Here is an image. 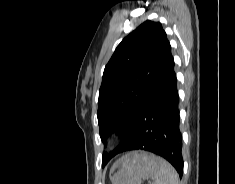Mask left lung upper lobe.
I'll return each mask as SVG.
<instances>
[{"instance_id":"5c2ea615","label":"left lung upper lobe","mask_w":235,"mask_h":184,"mask_svg":"<svg viewBox=\"0 0 235 184\" xmlns=\"http://www.w3.org/2000/svg\"><path fill=\"white\" fill-rule=\"evenodd\" d=\"M166 42L161 23L147 20L121 41L107 63L98 99L100 137L105 143L116 132L123 141L110 154L104 153L102 167L120 152L133 133Z\"/></svg>"}]
</instances>
